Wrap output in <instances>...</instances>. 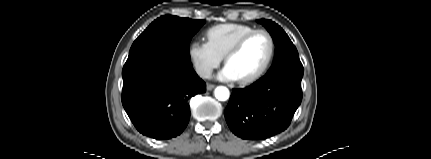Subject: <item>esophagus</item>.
<instances>
[{"label": "esophagus", "mask_w": 431, "mask_h": 159, "mask_svg": "<svg viewBox=\"0 0 431 159\" xmlns=\"http://www.w3.org/2000/svg\"><path fill=\"white\" fill-rule=\"evenodd\" d=\"M206 88H207L208 91H211L212 89L215 88V85L211 84V83H208L207 86H206Z\"/></svg>", "instance_id": "34e87169"}]
</instances>
